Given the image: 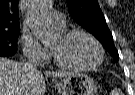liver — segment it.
<instances>
[{"instance_id":"1","label":"liver","mask_w":135,"mask_h":95,"mask_svg":"<svg viewBox=\"0 0 135 95\" xmlns=\"http://www.w3.org/2000/svg\"><path fill=\"white\" fill-rule=\"evenodd\" d=\"M68 72H45L46 77L66 78ZM45 79L39 70L0 57V95H44Z\"/></svg>"}]
</instances>
